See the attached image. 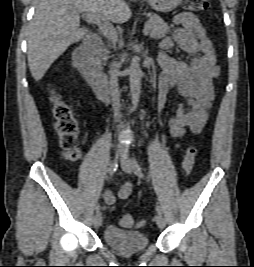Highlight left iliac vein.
<instances>
[{"mask_svg": "<svg viewBox=\"0 0 254 267\" xmlns=\"http://www.w3.org/2000/svg\"><path fill=\"white\" fill-rule=\"evenodd\" d=\"M122 169L128 173L131 174L134 171V167H133V161L130 158H125L124 160H122ZM155 222L157 224V226L161 229H163L166 225V221L163 217L162 214H157L155 216Z\"/></svg>", "mask_w": 254, "mask_h": 267, "instance_id": "left-iliac-vein-1", "label": "left iliac vein"}]
</instances>
